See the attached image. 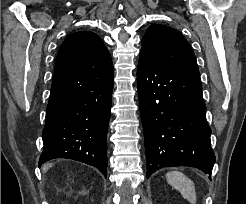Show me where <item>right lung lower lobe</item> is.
Returning <instances> with one entry per match:
<instances>
[{"label":"right lung lower lobe","instance_id":"98d812e1","mask_svg":"<svg viewBox=\"0 0 246 204\" xmlns=\"http://www.w3.org/2000/svg\"><path fill=\"white\" fill-rule=\"evenodd\" d=\"M113 66L55 73L43 130L39 167L55 158L107 170V129Z\"/></svg>","mask_w":246,"mask_h":204}]
</instances>
